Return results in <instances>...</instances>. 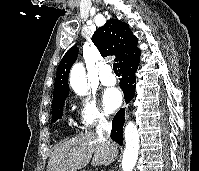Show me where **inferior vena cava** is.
Here are the masks:
<instances>
[{"instance_id":"inferior-vena-cava-1","label":"inferior vena cava","mask_w":199,"mask_h":171,"mask_svg":"<svg viewBox=\"0 0 199 171\" xmlns=\"http://www.w3.org/2000/svg\"><path fill=\"white\" fill-rule=\"evenodd\" d=\"M111 128H112L111 123L104 116H101L99 118V122L96 127V132L99 138L108 144L111 143L110 139Z\"/></svg>"}]
</instances>
